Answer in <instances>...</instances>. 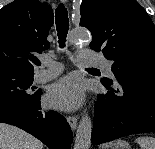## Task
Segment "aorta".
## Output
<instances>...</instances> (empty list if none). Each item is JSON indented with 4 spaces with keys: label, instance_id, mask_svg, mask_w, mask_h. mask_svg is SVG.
I'll list each match as a JSON object with an SVG mask.
<instances>
[{
    "label": "aorta",
    "instance_id": "aorta-1",
    "mask_svg": "<svg viewBox=\"0 0 155 149\" xmlns=\"http://www.w3.org/2000/svg\"><path fill=\"white\" fill-rule=\"evenodd\" d=\"M91 41L90 33L85 29L72 32L69 38L71 44H88ZM92 122L88 114H83L76 132L74 149H90Z\"/></svg>",
    "mask_w": 155,
    "mask_h": 149
}]
</instances>
